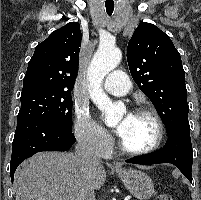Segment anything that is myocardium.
<instances>
[{"label": "myocardium", "instance_id": "1", "mask_svg": "<svg viewBox=\"0 0 201 200\" xmlns=\"http://www.w3.org/2000/svg\"><path fill=\"white\" fill-rule=\"evenodd\" d=\"M131 114L146 115V116L150 117L157 126L158 135H157L155 142L151 146H149L145 149H141V150L131 149V148L127 147L120 136L118 144H119V148L121 149V151H123L124 153L129 154V155L140 156V155L151 154V153L155 152L156 150H158L161 147V145L163 144L164 139H165V126H164V123H163L162 119L160 118V116L154 110H152L148 107H145V106H138V107L133 108L131 111Z\"/></svg>", "mask_w": 201, "mask_h": 200}]
</instances>
